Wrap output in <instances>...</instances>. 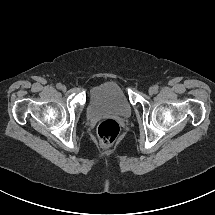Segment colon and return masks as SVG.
<instances>
[{
    "label": "colon",
    "instance_id": "1",
    "mask_svg": "<svg viewBox=\"0 0 215 215\" xmlns=\"http://www.w3.org/2000/svg\"><path fill=\"white\" fill-rule=\"evenodd\" d=\"M120 126L113 119H106L99 123L97 127V135L102 147H107L112 144L119 136Z\"/></svg>",
    "mask_w": 215,
    "mask_h": 215
}]
</instances>
